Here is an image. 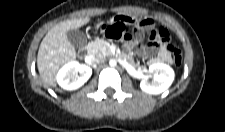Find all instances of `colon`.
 <instances>
[{
  "mask_svg": "<svg viewBox=\"0 0 225 132\" xmlns=\"http://www.w3.org/2000/svg\"><path fill=\"white\" fill-rule=\"evenodd\" d=\"M106 35L116 40H131L134 37V30L127 27H121L117 24H112L105 27ZM159 36L166 43V47L171 55L172 62L179 66L182 62V53L177 43L171 42L168 33L164 29L158 30ZM155 33H150V38H154Z\"/></svg>",
  "mask_w": 225,
  "mask_h": 132,
  "instance_id": "obj_1",
  "label": "colon"
}]
</instances>
